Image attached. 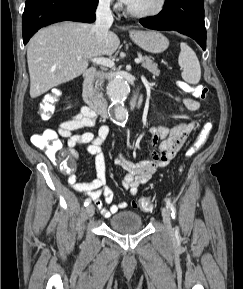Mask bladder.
I'll return each mask as SVG.
<instances>
[{"mask_svg":"<svg viewBox=\"0 0 243 289\" xmlns=\"http://www.w3.org/2000/svg\"><path fill=\"white\" fill-rule=\"evenodd\" d=\"M142 224L141 216L133 211H121L109 219L110 228L118 232L139 230Z\"/></svg>","mask_w":243,"mask_h":289,"instance_id":"bladder-1","label":"bladder"}]
</instances>
